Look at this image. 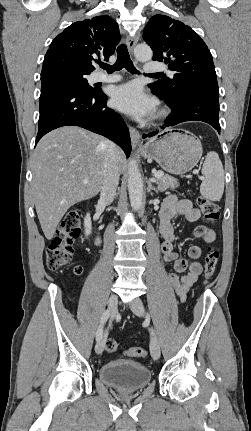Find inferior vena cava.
Returning <instances> with one entry per match:
<instances>
[{"mask_svg":"<svg viewBox=\"0 0 251 431\" xmlns=\"http://www.w3.org/2000/svg\"><path fill=\"white\" fill-rule=\"evenodd\" d=\"M117 146L108 141L104 163V180L100 193V202L109 205L113 202L119 184L120 169L117 162Z\"/></svg>","mask_w":251,"mask_h":431,"instance_id":"602c4592","label":"inferior vena cava"}]
</instances>
